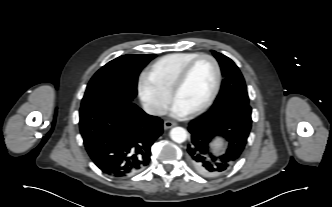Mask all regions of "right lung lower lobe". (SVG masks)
<instances>
[{
    "label": "right lung lower lobe",
    "instance_id": "98d812e1",
    "mask_svg": "<svg viewBox=\"0 0 332 207\" xmlns=\"http://www.w3.org/2000/svg\"><path fill=\"white\" fill-rule=\"evenodd\" d=\"M80 133L98 168L113 177L133 175L150 161V148L163 132L159 117L132 101L107 98L80 108Z\"/></svg>",
    "mask_w": 332,
    "mask_h": 207
}]
</instances>
